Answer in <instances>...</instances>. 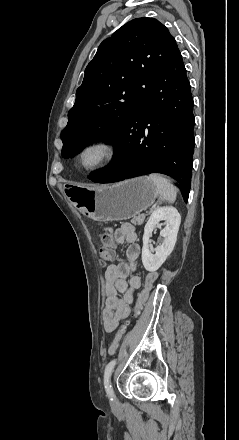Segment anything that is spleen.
<instances>
[{"label":"spleen","instance_id":"1","mask_svg":"<svg viewBox=\"0 0 239 440\" xmlns=\"http://www.w3.org/2000/svg\"><path fill=\"white\" fill-rule=\"evenodd\" d=\"M148 178L155 184L158 196L161 200H166V202H170V204L175 202L178 188L170 184V180H166L161 174H150Z\"/></svg>","mask_w":239,"mask_h":440}]
</instances>
